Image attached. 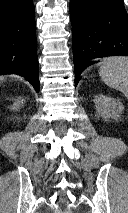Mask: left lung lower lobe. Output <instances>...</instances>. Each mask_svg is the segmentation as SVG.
<instances>
[{
  "label": "left lung lower lobe",
  "mask_w": 128,
  "mask_h": 213,
  "mask_svg": "<svg viewBox=\"0 0 128 213\" xmlns=\"http://www.w3.org/2000/svg\"><path fill=\"white\" fill-rule=\"evenodd\" d=\"M75 86L90 60L128 56V15L123 0H70Z\"/></svg>",
  "instance_id": "1"
}]
</instances>
